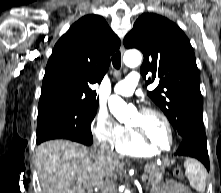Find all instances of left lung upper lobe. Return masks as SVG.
<instances>
[{"instance_id": "5c2ea615", "label": "left lung upper lobe", "mask_w": 221, "mask_h": 193, "mask_svg": "<svg viewBox=\"0 0 221 193\" xmlns=\"http://www.w3.org/2000/svg\"><path fill=\"white\" fill-rule=\"evenodd\" d=\"M126 48L144 55L141 74L152 72L147 84L158 83L148 96L162 109L180 136L203 128L200 74L190 41L165 17L146 13L124 38Z\"/></svg>"}]
</instances>
